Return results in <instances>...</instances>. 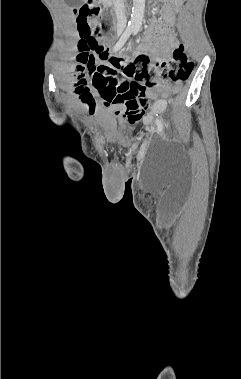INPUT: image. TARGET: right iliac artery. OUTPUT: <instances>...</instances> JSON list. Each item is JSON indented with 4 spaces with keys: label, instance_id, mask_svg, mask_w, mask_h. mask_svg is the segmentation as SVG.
Instances as JSON below:
<instances>
[{
    "label": "right iliac artery",
    "instance_id": "1",
    "mask_svg": "<svg viewBox=\"0 0 241 379\" xmlns=\"http://www.w3.org/2000/svg\"><path fill=\"white\" fill-rule=\"evenodd\" d=\"M133 32V29L128 27L124 33L122 34L121 38L119 39V41L116 43V45L114 46V51H118L124 44L125 42L127 41V39L129 38V36L131 35V33Z\"/></svg>",
    "mask_w": 241,
    "mask_h": 379
}]
</instances>
